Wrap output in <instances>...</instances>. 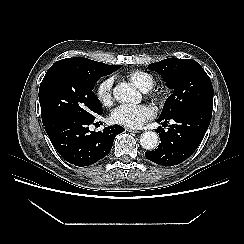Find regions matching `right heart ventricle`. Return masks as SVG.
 Listing matches in <instances>:
<instances>
[{
	"label": "right heart ventricle",
	"instance_id": "e07e8e85",
	"mask_svg": "<svg viewBox=\"0 0 244 244\" xmlns=\"http://www.w3.org/2000/svg\"><path fill=\"white\" fill-rule=\"evenodd\" d=\"M127 77L133 85L142 91L151 89L155 83L154 77L151 74L141 70L131 71Z\"/></svg>",
	"mask_w": 244,
	"mask_h": 244
}]
</instances>
